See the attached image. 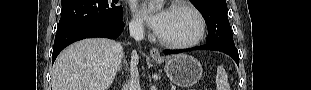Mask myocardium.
I'll list each match as a JSON object with an SVG mask.
<instances>
[{"label": "myocardium", "instance_id": "1", "mask_svg": "<svg viewBox=\"0 0 311 90\" xmlns=\"http://www.w3.org/2000/svg\"><path fill=\"white\" fill-rule=\"evenodd\" d=\"M174 9L185 10L191 13L195 17L197 24H198L197 33L191 40L182 41V42L169 41L157 35L158 41L163 46H166L172 49H186V48H191L193 46H196L202 40V38L204 37L205 31H206V22H205L204 17L196 8H194L193 6L187 3H176L171 6V10H174Z\"/></svg>", "mask_w": 311, "mask_h": 90}]
</instances>
